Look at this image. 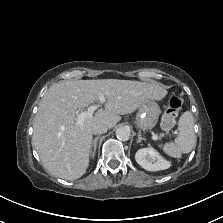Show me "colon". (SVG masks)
I'll return each mask as SVG.
<instances>
[{
	"label": "colon",
	"instance_id": "obj_1",
	"mask_svg": "<svg viewBox=\"0 0 223 223\" xmlns=\"http://www.w3.org/2000/svg\"><path fill=\"white\" fill-rule=\"evenodd\" d=\"M182 101L177 96H172L163 115L162 124L165 129H171L176 122V118L181 109Z\"/></svg>",
	"mask_w": 223,
	"mask_h": 223
}]
</instances>
